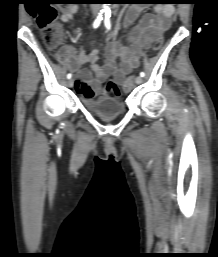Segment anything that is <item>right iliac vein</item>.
<instances>
[{
  "label": "right iliac vein",
  "mask_w": 218,
  "mask_h": 257,
  "mask_svg": "<svg viewBox=\"0 0 218 257\" xmlns=\"http://www.w3.org/2000/svg\"><path fill=\"white\" fill-rule=\"evenodd\" d=\"M68 86L69 87H73V85H74V80L73 79H69V81H68Z\"/></svg>",
  "instance_id": "63e3f726"
}]
</instances>
